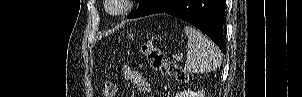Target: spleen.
I'll use <instances>...</instances> for the list:
<instances>
[{
    "mask_svg": "<svg viewBox=\"0 0 302 97\" xmlns=\"http://www.w3.org/2000/svg\"><path fill=\"white\" fill-rule=\"evenodd\" d=\"M184 32L188 37L185 70L206 73L218 69L222 63L219 48L192 26H185Z\"/></svg>",
    "mask_w": 302,
    "mask_h": 97,
    "instance_id": "3e777b00",
    "label": "spleen"
}]
</instances>
